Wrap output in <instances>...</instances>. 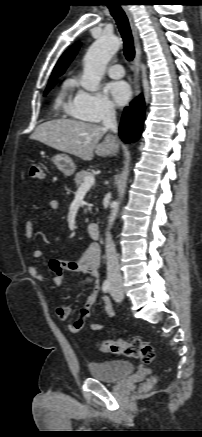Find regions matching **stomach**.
<instances>
[{
  "label": "stomach",
  "mask_w": 202,
  "mask_h": 437,
  "mask_svg": "<svg viewBox=\"0 0 202 437\" xmlns=\"http://www.w3.org/2000/svg\"><path fill=\"white\" fill-rule=\"evenodd\" d=\"M52 162L65 176H71L76 170L73 160L66 154H57L52 157Z\"/></svg>",
  "instance_id": "stomach-1"
}]
</instances>
